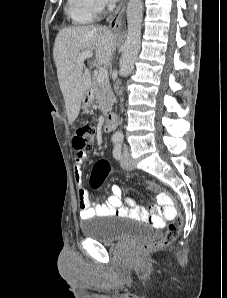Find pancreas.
<instances>
[{"label":"pancreas","mask_w":227,"mask_h":298,"mask_svg":"<svg viewBox=\"0 0 227 298\" xmlns=\"http://www.w3.org/2000/svg\"><path fill=\"white\" fill-rule=\"evenodd\" d=\"M92 94L103 114L111 111L116 99L108 79L98 81L97 77H94L92 81Z\"/></svg>","instance_id":"obj_1"}]
</instances>
